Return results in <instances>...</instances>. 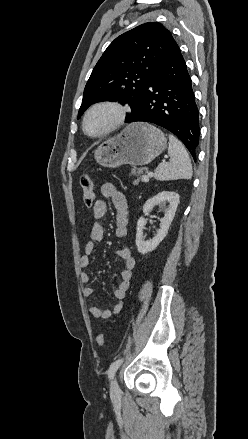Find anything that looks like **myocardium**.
<instances>
[{"label": "myocardium", "mask_w": 248, "mask_h": 439, "mask_svg": "<svg viewBox=\"0 0 248 439\" xmlns=\"http://www.w3.org/2000/svg\"><path fill=\"white\" fill-rule=\"evenodd\" d=\"M100 108H110L115 113V118L112 121V123L107 126L105 129H103L101 132L96 134H91L87 131V120L89 116L95 112L96 110ZM128 114L127 108L122 105L120 102L114 101V100H102L98 101L94 104H92L84 113L83 119H82V130L85 133V135L91 137V138H100L108 135L109 133L117 130L120 128L126 121Z\"/></svg>", "instance_id": "1"}]
</instances>
